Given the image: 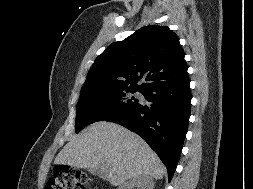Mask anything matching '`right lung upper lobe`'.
<instances>
[{"mask_svg":"<svg viewBox=\"0 0 253 189\" xmlns=\"http://www.w3.org/2000/svg\"><path fill=\"white\" fill-rule=\"evenodd\" d=\"M178 36L167 26L142 27L123 41L112 43L87 74L81 93L106 86L144 91L188 76ZM145 82L138 85V81Z\"/></svg>","mask_w":253,"mask_h":189,"instance_id":"right-lung-upper-lobe-1","label":"right lung upper lobe"}]
</instances>
